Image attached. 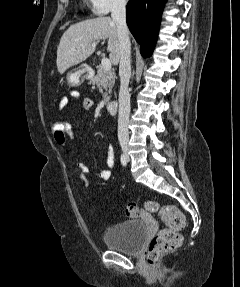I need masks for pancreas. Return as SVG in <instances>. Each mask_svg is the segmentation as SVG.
<instances>
[{"mask_svg":"<svg viewBox=\"0 0 240 287\" xmlns=\"http://www.w3.org/2000/svg\"><path fill=\"white\" fill-rule=\"evenodd\" d=\"M115 78H116L115 71L111 69L104 70L102 65H99L97 67V75L90 78L91 83L100 85L103 89L108 91V93L103 94V101L105 104H107L110 100V94L115 84Z\"/></svg>","mask_w":240,"mask_h":287,"instance_id":"cf45deb5","label":"pancreas"}]
</instances>
